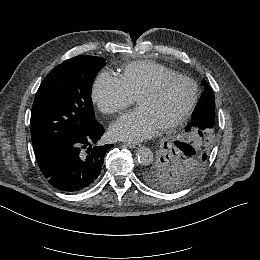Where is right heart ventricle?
<instances>
[{
	"label": "right heart ventricle",
	"instance_id": "e07e8e85",
	"mask_svg": "<svg viewBox=\"0 0 260 260\" xmlns=\"http://www.w3.org/2000/svg\"><path fill=\"white\" fill-rule=\"evenodd\" d=\"M177 74L174 70L154 62H134L124 67L120 80L132 98L149 87L155 78Z\"/></svg>",
	"mask_w": 260,
	"mask_h": 260
}]
</instances>
